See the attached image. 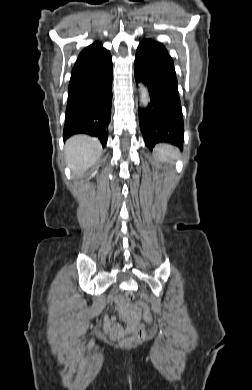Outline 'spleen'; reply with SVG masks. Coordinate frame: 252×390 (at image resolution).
I'll list each match as a JSON object with an SVG mask.
<instances>
[{
    "label": "spleen",
    "instance_id": "obj_1",
    "mask_svg": "<svg viewBox=\"0 0 252 390\" xmlns=\"http://www.w3.org/2000/svg\"><path fill=\"white\" fill-rule=\"evenodd\" d=\"M156 151L162 161L174 159L178 156V151L170 145H161Z\"/></svg>",
    "mask_w": 252,
    "mask_h": 390
}]
</instances>
